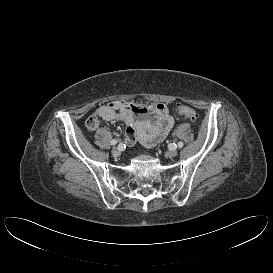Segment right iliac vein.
I'll return each mask as SVG.
<instances>
[{
    "mask_svg": "<svg viewBox=\"0 0 273 273\" xmlns=\"http://www.w3.org/2000/svg\"><path fill=\"white\" fill-rule=\"evenodd\" d=\"M112 154L114 155V156H119L120 155V149L119 148H117V147H114V148H112Z\"/></svg>",
    "mask_w": 273,
    "mask_h": 273,
    "instance_id": "right-iliac-vein-1",
    "label": "right iliac vein"
}]
</instances>
